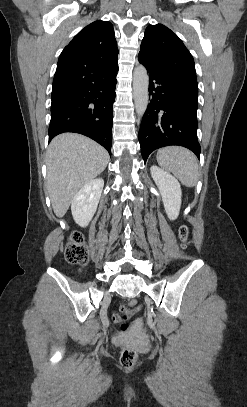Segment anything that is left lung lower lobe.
Segmentation results:
<instances>
[{
    "label": "left lung lower lobe",
    "instance_id": "left-lung-lower-lobe-1",
    "mask_svg": "<svg viewBox=\"0 0 247 407\" xmlns=\"http://www.w3.org/2000/svg\"><path fill=\"white\" fill-rule=\"evenodd\" d=\"M139 62L149 73L150 91L138 136L144 162L152 151L170 145L186 147L199 158L197 79L157 70L141 59Z\"/></svg>",
    "mask_w": 247,
    "mask_h": 407
}]
</instances>
